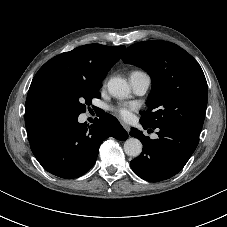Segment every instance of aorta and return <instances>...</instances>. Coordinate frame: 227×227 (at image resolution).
I'll return each instance as SVG.
<instances>
[{
    "label": "aorta",
    "instance_id": "1",
    "mask_svg": "<svg viewBox=\"0 0 227 227\" xmlns=\"http://www.w3.org/2000/svg\"><path fill=\"white\" fill-rule=\"evenodd\" d=\"M109 92L117 98H125L130 94V86L121 77H113L108 81ZM124 151L130 157H137L142 152V143L136 138H129L124 143Z\"/></svg>",
    "mask_w": 227,
    "mask_h": 227
}]
</instances>
